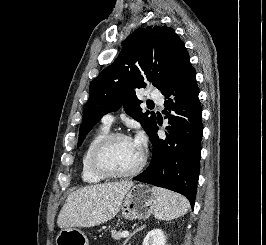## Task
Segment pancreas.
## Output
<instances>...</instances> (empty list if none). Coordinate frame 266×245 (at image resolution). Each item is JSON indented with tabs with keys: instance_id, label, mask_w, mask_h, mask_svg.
Returning a JSON list of instances; mask_svg holds the SVG:
<instances>
[{
	"instance_id": "obj_1",
	"label": "pancreas",
	"mask_w": 266,
	"mask_h": 245,
	"mask_svg": "<svg viewBox=\"0 0 266 245\" xmlns=\"http://www.w3.org/2000/svg\"><path fill=\"white\" fill-rule=\"evenodd\" d=\"M111 237L114 241H120V239H122L121 231H111Z\"/></svg>"
}]
</instances>
